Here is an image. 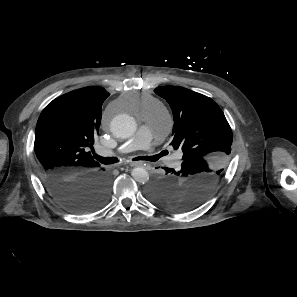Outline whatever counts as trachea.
Returning <instances> with one entry per match:
<instances>
[{"mask_svg":"<svg viewBox=\"0 0 297 297\" xmlns=\"http://www.w3.org/2000/svg\"><path fill=\"white\" fill-rule=\"evenodd\" d=\"M93 155L96 160H98L100 163L105 164V165L114 164L119 161L116 157H102L95 153ZM158 158H159L158 156H139V157L133 158V160L134 161L142 160V161L155 162L158 160Z\"/></svg>","mask_w":297,"mask_h":297,"instance_id":"1","label":"trachea"}]
</instances>
